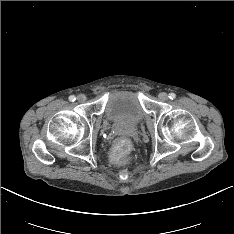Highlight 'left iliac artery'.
I'll list each match as a JSON object with an SVG mask.
<instances>
[{
    "label": "left iliac artery",
    "mask_w": 234,
    "mask_h": 234,
    "mask_svg": "<svg viewBox=\"0 0 234 234\" xmlns=\"http://www.w3.org/2000/svg\"><path fill=\"white\" fill-rule=\"evenodd\" d=\"M169 98H170L171 100L175 99V98H176V94H175V93H170V94H169Z\"/></svg>",
    "instance_id": "left-iliac-artery-1"
}]
</instances>
